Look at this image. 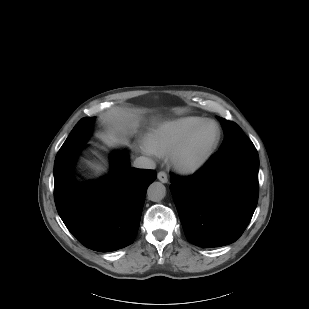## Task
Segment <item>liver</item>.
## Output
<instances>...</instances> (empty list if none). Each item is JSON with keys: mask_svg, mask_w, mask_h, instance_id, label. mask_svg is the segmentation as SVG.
<instances>
[{"mask_svg": "<svg viewBox=\"0 0 309 309\" xmlns=\"http://www.w3.org/2000/svg\"><path fill=\"white\" fill-rule=\"evenodd\" d=\"M135 124L137 121L134 122ZM109 144H128V141L123 137V135L110 136L108 139Z\"/></svg>", "mask_w": 309, "mask_h": 309, "instance_id": "6515ba94", "label": "liver"}]
</instances>
